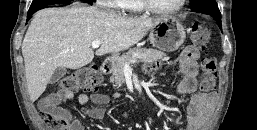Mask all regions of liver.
<instances>
[{"mask_svg":"<svg viewBox=\"0 0 257 130\" xmlns=\"http://www.w3.org/2000/svg\"><path fill=\"white\" fill-rule=\"evenodd\" d=\"M159 19L127 18L94 7L46 8L37 12L22 43L31 101L37 100L58 68L79 69L95 54L118 53L137 44Z\"/></svg>","mask_w":257,"mask_h":130,"instance_id":"1","label":"liver"}]
</instances>
